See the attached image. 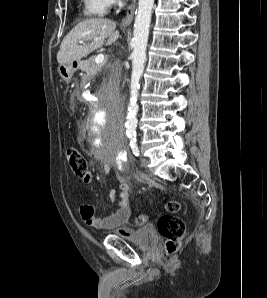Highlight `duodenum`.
Segmentation results:
<instances>
[{
    "label": "duodenum",
    "mask_w": 267,
    "mask_h": 298,
    "mask_svg": "<svg viewBox=\"0 0 267 298\" xmlns=\"http://www.w3.org/2000/svg\"><path fill=\"white\" fill-rule=\"evenodd\" d=\"M92 97L91 104H87L88 115H97L98 107L96 105H100V100H97L99 94L93 93Z\"/></svg>",
    "instance_id": "410a0bca"
}]
</instances>
